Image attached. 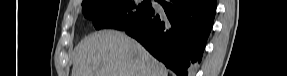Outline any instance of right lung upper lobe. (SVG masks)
<instances>
[{
  "mask_svg": "<svg viewBox=\"0 0 287 76\" xmlns=\"http://www.w3.org/2000/svg\"><path fill=\"white\" fill-rule=\"evenodd\" d=\"M86 1H88V0H83V2H82V3L86 2Z\"/></svg>",
  "mask_w": 287,
  "mask_h": 76,
  "instance_id": "right-lung-upper-lobe-1",
  "label": "right lung upper lobe"
}]
</instances>
